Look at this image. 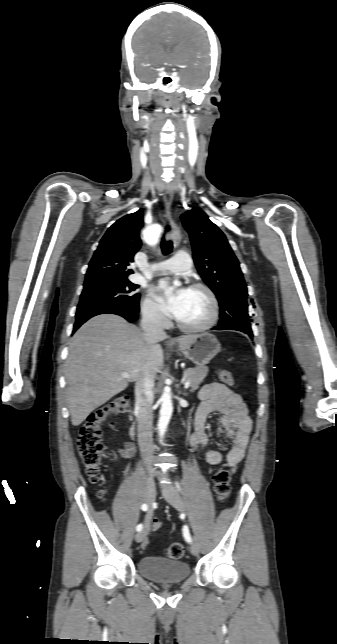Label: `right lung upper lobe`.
Masks as SVG:
<instances>
[{"instance_id":"obj_1","label":"right lung upper lobe","mask_w":337,"mask_h":644,"mask_svg":"<svg viewBox=\"0 0 337 644\" xmlns=\"http://www.w3.org/2000/svg\"><path fill=\"white\" fill-rule=\"evenodd\" d=\"M143 212L138 210L117 220L105 233L86 273L85 282L95 279H127L135 253L141 247L139 230Z\"/></svg>"}]
</instances>
